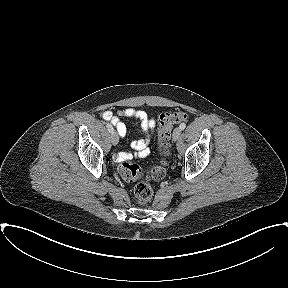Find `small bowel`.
I'll return each instance as SVG.
<instances>
[{"mask_svg": "<svg viewBox=\"0 0 288 288\" xmlns=\"http://www.w3.org/2000/svg\"><path fill=\"white\" fill-rule=\"evenodd\" d=\"M120 117H127L137 120L139 122L137 130L144 135V138L133 140L131 142V147L134 149V153L120 152L116 156L117 161L121 162L124 160H130L134 156L137 158L147 157L150 154L148 145L153 137V129L156 124L155 119L149 117L145 111L133 107L121 109L117 112V114H114L111 111L103 112L102 118L110 122L115 127L120 137H125L127 134V127Z\"/></svg>", "mask_w": 288, "mask_h": 288, "instance_id": "1", "label": "small bowel"}]
</instances>
